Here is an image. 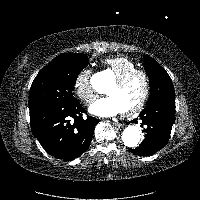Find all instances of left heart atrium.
<instances>
[{
  "label": "left heart atrium",
  "mask_w": 200,
  "mask_h": 200,
  "mask_svg": "<svg viewBox=\"0 0 200 200\" xmlns=\"http://www.w3.org/2000/svg\"><path fill=\"white\" fill-rule=\"evenodd\" d=\"M89 111L99 117H112L123 112L121 105L114 96H107L96 100Z\"/></svg>",
  "instance_id": "left-heart-atrium-1"
}]
</instances>
